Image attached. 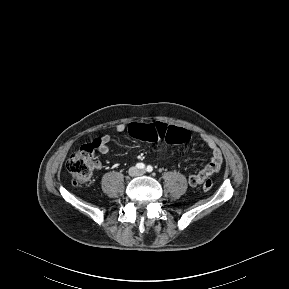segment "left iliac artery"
<instances>
[{"mask_svg":"<svg viewBox=\"0 0 289 289\" xmlns=\"http://www.w3.org/2000/svg\"><path fill=\"white\" fill-rule=\"evenodd\" d=\"M147 172H152L153 171V167L151 165H148L146 168Z\"/></svg>","mask_w":289,"mask_h":289,"instance_id":"44dca946","label":"left iliac artery"}]
</instances>
